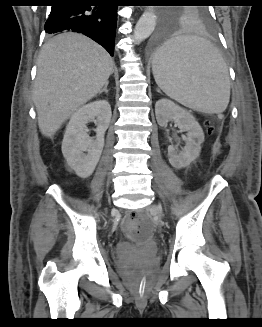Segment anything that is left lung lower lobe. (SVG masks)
Instances as JSON below:
<instances>
[{"label": "left lung lower lobe", "instance_id": "1", "mask_svg": "<svg viewBox=\"0 0 262 327\" xmlns=\"http://www.w3.org/2000/svg\"><path fill=\"white\" fill-rule=\"evenodd\" d=\"M167 31L164 28H160L156 31V33L153 35L149 42V48L151 51H157L159 48L165 44V41L167 39Z\"/></svg>", "mask_w": 262, "mask_h": 327}]
</instances>
